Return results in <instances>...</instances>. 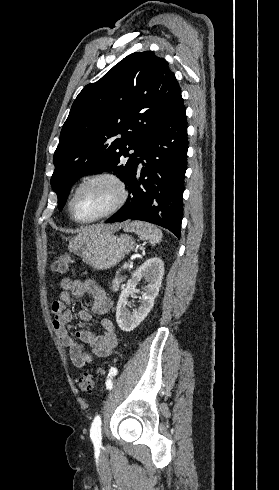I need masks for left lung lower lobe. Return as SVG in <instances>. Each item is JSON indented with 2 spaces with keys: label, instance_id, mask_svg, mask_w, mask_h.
I'll use <instances>...</instances> for the list:
<instances>
[{
  "label": "left lung lower lobe",
  "instance_id": "1",
  "mask_svg": "<svg viewBox=\"0 0 279 490\" xmlns=\"http://www.w3.org/2000/svg\"><path fill=\"white\" fill-rule=\"evenodd\" d=\"M187 149V118L182 99L150 132L127 184L130 196L105 223L147 221L180 238Z\"/></svg>",
  "mask_w": 279,
  "mask_h": 490
}]
</instances>
